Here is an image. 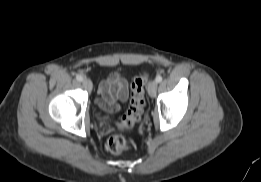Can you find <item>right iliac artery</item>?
I'll list each match as a JSON object with an SVG mask.
<instances>
[{"instance_id": "right-iliac-artery-1", "label": "right iliac artery", "mask_w": 261, "mask_h": 182, "mask_svg": "<svg viewBox=\"0 0 261 182\" xmlns=\"http://www.w3.org/2000/svg\"><path fill=\"white\" fill-rule=\"evenodd\" d=\"M76 79H77L78 81H82V80H83V77H82L81 75H76Z\"/></svg>"}]
</instances>
